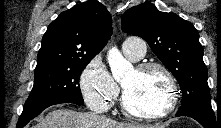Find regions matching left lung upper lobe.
<instances>
[{
    "label": "left lung upper lobe",
    "mask_w": 221,
    "mask_h": 128,
    "mask_svg": "<svg viewBox=\"0 0 221 128\" xmlns=\"http://www.w3.org/2000/svg\"><path fill=\"white\" fill-rule=\"evenodd\" d=\"M121 28L143 38L177 79L182 93L177 113L200 109L213 111L203 48L193 24L174 13H164L150 2L128 9Z\"/></svg>",
    "instance_id": "5c2ea615"
}]
</instances>
